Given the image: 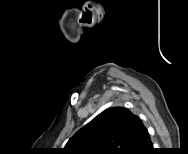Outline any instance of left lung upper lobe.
Masks as SVG:
<instances>
[{"instance_id": "5c2ea615", "label": "left lung upper lobe", "mask_w": 188, "mask_h": 154, "mask_svg": "<svg viewBox=\"0 0 188 154\" xmlns=\"http://www.w3.org/2000/svg\"><path fill=\"white\" fill-rule=\"evenodd\" d=\"M136 115L124 107H111L77 131L65 150L73 154H127Z\"/></svg>"}]
</instances>
